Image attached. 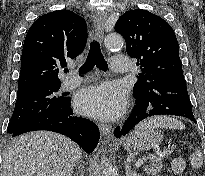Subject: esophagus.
Instances as JSON below:
<instances>
[{
	"instance_id": "obj_1",
	"label": "esophagus",
	"mask_w": 205,
	"mask_h": 176,
	"mask_svg": "<svg viewBox=\"0 0 205 176\" xmlns=\"http://www.w3.org/2000/svg\"><path fill=\"white\" fill-rule=\"evenodd\" d=\"M107 15L105 12H98L94 19V27L97 39L102 42L104 37V24ZM99 130L105 138L110 139L113 136V128L111 125L98 124Z\"/></svg>"
}]
</instances>
